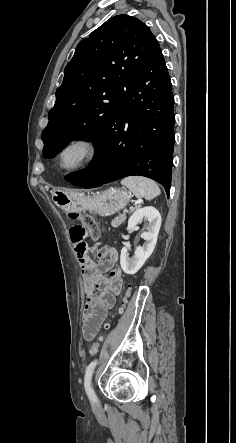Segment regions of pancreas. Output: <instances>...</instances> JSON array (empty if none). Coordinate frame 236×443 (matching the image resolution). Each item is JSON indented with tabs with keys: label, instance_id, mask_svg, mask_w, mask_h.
I'll list each match as a JSON object with an SVG mask.
<instances>
[{
	"label": "pancreas",
	"instance_id": "1",
	"mask_svg": "<svg viewBox=\"0 0 236 443\" xmlns=\"http://www.w3.org/2000/svg\"><path fill=\"white\" fill-rule=\"evenodd\" d=\"M133 210H131L132 212ZM126 220V215L125 214H121L119 216H117L115 219L112 220L111 225L112 227H118L120 226L124 221Z\"/></svg>",
	"mask_w": 236,
	"mask_h": 443
}]
</instances>
